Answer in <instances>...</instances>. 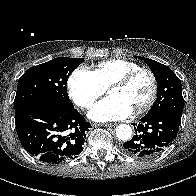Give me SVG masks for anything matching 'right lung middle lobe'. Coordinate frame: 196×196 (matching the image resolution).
Returning <instances> with one entry per match:
<instances>
[{"mask_svg": "<svg viewBox=\"0 0 196 196\" xmlns=\"http://www.w3.org/2000/svg\"><path fill=\"white\" fill-rule=\"evenodd\" d=\"M84 59L59 57L29 68L19 79L14 100L15 109L38 100L74 107L66 84L69 75Z\"/></svg>", "mask_w": 196, "mask_h": 196, "instance_id": "1", "label": "right lung middle lobe"}]
</instances>
